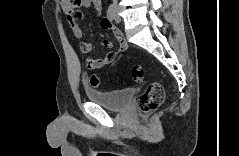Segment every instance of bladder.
Segmentation results:
<instances>
[{
  "label": "bladder",
  "mask_w": 239,
  "mask_h": 156,
  "mask_svg": "<svg viewBox=\"0 0 239 156\" xmlns=\"http://www.w3.org/2000/svg\"><path fill=\"white\" fill-rule=\"evenodd\" d=\"M134 94L133 88L114 91L86 90V95L91 102L115 112L124 110L132 101Z\"/></svg>",
  "instance_id": "bladder-1"
}]
</instances>
